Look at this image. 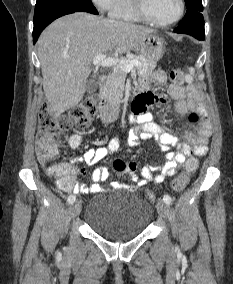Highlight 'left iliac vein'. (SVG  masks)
<instances>
[{"instance_id": "4c4485c4", "label": "left iliac vein", "mask_w": 233, "mask_h": 284, "mask_svg": "<svg viewBox=\"0 0 233 284\" xmlns=\"http://www.w3.org/2000/svg\"><path fill=\"white\" fill-rule=\"evenodd\" d=\"M157 211L160 217L166 219L169 214V206L164 202V200L159 199L157 202Z\"/></svg>"}]
</instances>
